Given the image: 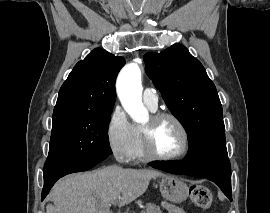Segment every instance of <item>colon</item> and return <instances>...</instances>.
Wrapping results in <instances>:
<instances>
[{
    "label": "colon",
    "instance_id": "1",
    "mask_svg": "<svg viewBox=\"0 0 270 213\" xmlns=\"http://www.w3.org/2000/svg\"><path fill=\"white\" fill-rule=\"evenodd\" d=\"M190 198L193 204L201 209H207L212 204V194L205 186L194 185L190 187Z\"/></svg>",
    "mask_w": 270,
    "mask_h": 213
}]
</instances>
